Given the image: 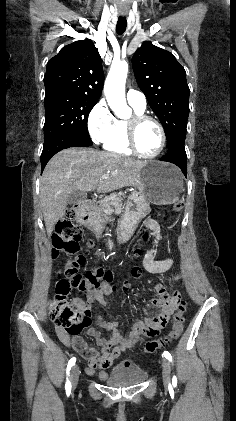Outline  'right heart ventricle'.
Instances as JSON below:
<instances>
[{"instance_id": "e07e8e85", "label": "right heart ventricle", "mask_w": 236, "mask_h": 421, "mask_svg": "<svg viewBox=\"0 0 236 421\" xmlns=\"http://www.w3.org/2000/svg\"><path fill=\"white\" fill-rule=\"evenodd\" d=\"M133 107V106H132ZM135 112L142 113L143 110L133 107ZM125 120L115 119L112 131L103 142V148L111 153L128 156L132 154L124 132Z\"/></svg>"}]
</instances>
